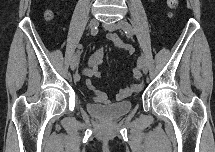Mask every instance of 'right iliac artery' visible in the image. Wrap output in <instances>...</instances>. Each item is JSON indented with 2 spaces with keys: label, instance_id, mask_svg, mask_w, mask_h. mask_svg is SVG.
Listing matches in <instances>:
<instances>
[{
  "label": "right iliac artery",
  "instance_id": "right-iliac-artery-1",
  "mask_svg": "<svg viewBox=\"0 0 215 152\" xmlns=\"http://www.w3.org/2000/svg\"><path fill=\"white\" fill-rule=\"evenodd\" d=\"M97 33H98L97 27H96L95 29H92V30H91V35H92V36H95ZM81 48H82V45H79V46H78V49H81ZM77 52H79V50H78Z\"/></svg>",
  "mask_w": 215,
  "mask_h": 152
}]
</instances>
